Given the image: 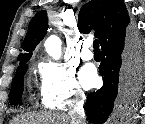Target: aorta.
Returning a JSON list of instances; mask_svg holds the SVG:
<instances>
[{
	"label": "aorta",
	"mask_w": 145,
	"mask_h": 124,
	"mask_svg": "<svg viewBox=\"0 0 145 124\" xmlns=\"http://www.w3.org/2000/svg\"><path fill=\"white\" fill-rule=\"evenodd\" d=\"M61 40L56 35L49 36L45 43L46 52L55 60H58L61 57Z\"/></svg>",
	"instance_id": "762f6f07"
}]
</instances>
